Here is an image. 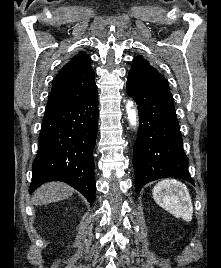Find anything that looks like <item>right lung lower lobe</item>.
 Listing matches in <instances>:
<instances>
[{
  "label": "right lung lower lobe",
  "instance_id": "1",
  "mask_svg": "<svg viewBox=\"0 0 221 268\" xmlns=\"http://www.w3.org/2000/svg\"><path fill=\"white\" fill-rule=\"evenodd\" d=\"M98 131L97 90L76 103L46 108L33 162L29 192L62 181L92 203L95 200L93 149Z\"/></svg>",
  "mask_w": 221,
  "mask_h": 268
}]
</instances>
